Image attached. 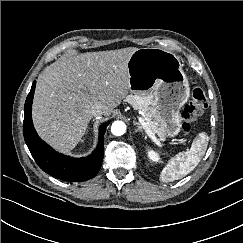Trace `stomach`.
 I'll return each instance as SVG.
<instances>
[{
    "instance_id": "0dacf381",
    "label": "stomach",
    "mask_w": 243,
    "mask_h": 243,
    "mask_svg": "<svg viewBox=\"0 0 243 243\" xmlns=\"http://www.w3.org/2000/svg\"><path fill=\"white\" fill-rule=\"evenodd\" d=\"M130 91L152 94L151 112L165 137L180 132L178 109L189 98V82L179 58L161 48H140L128 61Z\"/></svg>"
}]
</instances>
